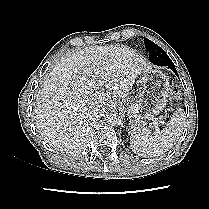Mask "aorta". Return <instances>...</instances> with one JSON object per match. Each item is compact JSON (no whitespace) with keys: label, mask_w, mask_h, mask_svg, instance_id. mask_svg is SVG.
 <instances>
[{"label":"aorta","mask_w":209,"mask_h":209,"mask_svg":"<svg viewBox=\"0 0 209 209\" xmlns=\"http://www.w3.org/2000/svg\"><path fill=\"white\" fill-rule=\"evenodd\" d=\"M106 121L110 126H119L122 123V116L118 112L109 113Z\"/></svg>","instance_id":"aorta-1"}]
</instances>
